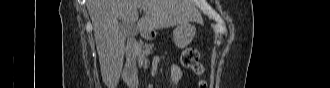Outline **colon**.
<instances>
[{
	"mask_svg": "<svg viewBox=\"0 0 330 88\" xmlns=\"http://www.w3.org/2000/svg\"><path fill=\"white\" fill-rule=\"evenodd\" d=\"M182 65L191 70L194 74L199 77H202L204 73V67L200 62L199 52L195 48H187L183 51L181 57ZM200 88H205L206 84L203 80L199 82Z\"/></svg>",
	"mask_w": 330,
	"mask_h": 88,
	"instance_id": "5ec220e1",
	"label": "colon"
}]
</instances>
